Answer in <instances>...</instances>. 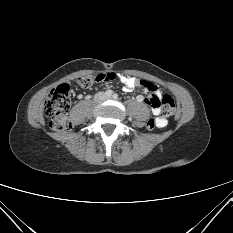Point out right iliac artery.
<instances>
[{
	"label": "right iliac artery",
	"mask_w": 233,
	"mask_h": 233,
	"mask_svg": "<svg viewBox=\"0 0 233 233\" xmlns=\"http://www.w3.org/2000/svg\"><path fill=\"white\" fill-rule=\"evenodd\" d=\"M113 94V91L112 90H107L106 92H105V95L106 96H111Z\"/></svg>",
	"instance_id": "right-iliac-artery-1"
}]
</instances>
